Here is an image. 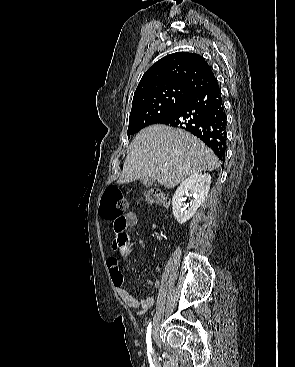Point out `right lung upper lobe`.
<instances>
[{"instance_id":"1","label":"right lung upper lobe","mask_w":295,"mask_h":367,"mask_svg":"<svg viewBox=\"0 0 295 367\" xmlns=\"http://www.w3.org/2000/svg\"><path fill=\"white\" fill-rule=\"evenodd\" d=\"M216 80L205 59L193 53L178 52L154 63L143 75L133 102L171 89L193 93Z\"/></svg>"}]
</instances>
